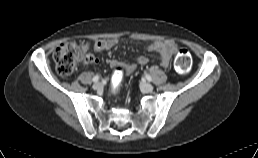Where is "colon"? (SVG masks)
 Wrapping results in <instances>:
<instances>
[{"label": "colon", "mask_w": 258, "mask_h": 158, "mask_svg": "<svg viewBox=\"0 0 258 158\" xmlns=\"http://www.w3.org/2000/svg\"><path fill=\"white\" fill-rule=\"evenodd\" d=\"M53 59L58 73L62 76L71 75L76 65L80 62L88 64L95 61L93 55L88 52V46L82 42L75 41L59 45L53 53ZM174 66L178 73L183 74L189 71L191 66V54L187 49H179L174 61ZM115 69L113 84L119 87L124 78V68L117 65Z\"/></svg>", "instance_id": "5ec220e1"}]
</instances>
